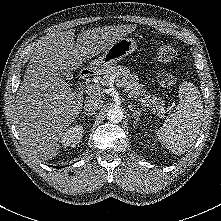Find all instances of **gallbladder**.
Returning <instances> with one entry per match:
<instances>
[{"mask_svg":"<svg viewBox=\"0 0 221 221\" xmlns=\"http://www.w3.org/2000/svg\"><path fill=\"white\" fill-rule=\"evenodd\" d=\"M61 74L67 79V80H69L70 78H71V73L70 72H68V71H66V70H62L61 71Z\"/></svg>","mask_w":221,"mask_h":221,"instance_id":"obj_1","label":"gallbladder"}]
</instances>
